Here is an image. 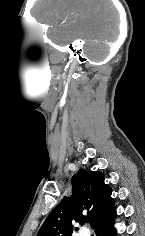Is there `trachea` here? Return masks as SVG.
<instances>
[{
  "mask_svg": "<svg viewBox=\"0 0 145 236\" xmlns=\"http://www.w3.org/2000/svg\"><path fill=\"white\" fill-rule=\"evenodd\" d=\"M90 221H91L90 218H87V219H86V222H87V223H90Z\"/></svg>",
  "mask_w": 145,
  "mask_h": 236,
  "instance_id": "1",
  "label": "trachea"
}]
</instances>
